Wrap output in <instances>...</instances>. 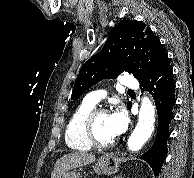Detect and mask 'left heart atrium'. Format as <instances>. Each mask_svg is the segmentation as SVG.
I'll return each mask as SVG.
<instances>
[{"instance_id":"1","label":"left heart atrium","mask_w":194,"mask_h":178,"mask_svg":"<svg viewBox=\"0 0 194 178\" xmlns=\"http://www.w3.org/2000/svg\"><path fill=\"white\" fill-rule=\"evenodd\" d=\"M110 129L114 136L122 134L128 125V117L123 109H117L109 114Z\"/></svg>"}]
</instances>
